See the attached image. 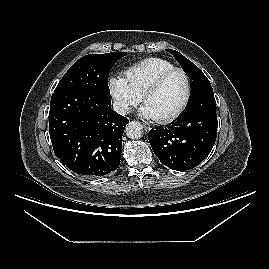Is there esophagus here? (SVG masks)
<instances>
[{
	"label": "esophagus",
	"mask_w": 269,
	"mask_h": 269,
	"mask_svg": "<svg viewBox=\"0 0 269 269\" xmlns=\"http://www.w3.org/2000/svg\"><path fill=\"white\" fill-rule=\"evenodd\" d=\"M143 127H144L145 131H147V132L151 130V128L145 124L143 125Z\"/></svg>",
	"instance_id": "34e87169"
}]
</instances>
